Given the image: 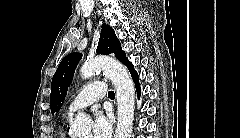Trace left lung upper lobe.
I'll list each match as a JSON object with an SVG mask.
<instances>
[{
    "mask_svg": "<svg viewBox=\"0 0 240 138\" xmlns=\"http://www.w3.org/2000/svg\"><path fill=\"white\" fill-rule=\"evenodd\" d=\"M97 53L114 54L115 57L125 65L129 62L114 30L106 24L102 26ZM81 58V53H72L60 62L51 84L50 104L52 114L60 110L65 100L69 83L73 78L74 71Z\"/></svg>",
    "mask_w": 240,
    "mask_h": 138,
    "instance_id": "5c2ea615",
    "label": "left lung upper lobe"
}]
</instances>
